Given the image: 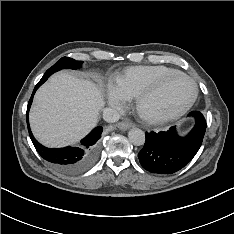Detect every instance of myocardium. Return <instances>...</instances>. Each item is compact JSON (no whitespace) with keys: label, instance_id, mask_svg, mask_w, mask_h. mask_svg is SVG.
I'll use <instances>...</instances> for the list:
<instances>
[{"label":"myocardium","instance_id":"myocardium-1","mask_svg":"<svg viewBox=\"0 0 234 234\" xmlns=\"http://www.w3.org/2000/svg\"><path fill=\"white\" fill-rule=\"evenodd\" d=\"M174 77H183L189 80L193 86V94L190 98V100L183 105L182 107L172 110V111H149L147 109V103L148 101L156 94L158 93L165 85L166 83L171 80ZM198 97V87L196 82L192 77L189 75L176 71L173 73H169L162 78H160L155 84H153L151 87H149L147 90H145L143 93H141L136 100V110L138 115L146 122L151 124H159L163 122H167L170 120L177 119L184 115L195 103L196 99Z\"/></svg>","mask_w":234,"mask_h":234}]
</instances>
